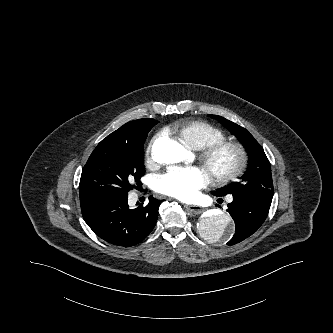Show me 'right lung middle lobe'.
Listing matches in <instances>:
<instances>
[{
    "instance_id": "dd1d6c3e",
    "label": "right lung middle lobe",
    "mask_w": 333,
    "mask_h": 333,
    "mask_svg": "<svg viewBox=\"0 0 333 333\" xmlns=\"http://www.w3.org/2000/svg\"><path fill=\"white\" fill-rule=\"evenodd\" d=\"M141 140L134 147L102 145L90 155L81 174L80 201L109 196H127L134 187L130 182H139L144 175L143 144L148 132L158 121L139 119ZM138 122V120L136 121Z\"/></svg>"
}]
</instances>
